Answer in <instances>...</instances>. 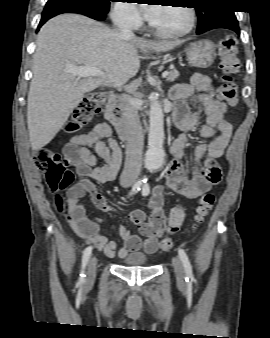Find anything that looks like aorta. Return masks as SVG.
Instances as JSON below:
<instances>
[{"instance_id":"aorta-1","label":"aorta","mask_w":270,"mask_h":338,"mask_svg":"<svg viewBox=\"0 0 270 338\" xmlns=\"http://www.w3.org/2000/svg\"><path fill=\"white\" fill-rule=\"evenodd\" d=\"M164 114L161 103L156 95L150 98L148 150L146 152V167L149 171L162 168L165 159Z\"/></svg>"}]
</instances>
